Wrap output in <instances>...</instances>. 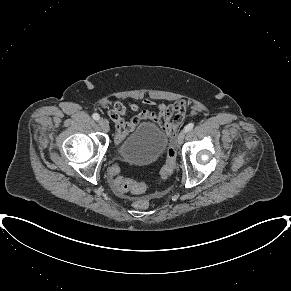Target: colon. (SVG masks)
Wrapping results in <instances>:
<instances>
[{
	"label": "colon",
	"instance_id": "5ec220e1",
	"mask_svg": "<svg viewBox=\"0 0 291 291\" xmlns=\"http://www.w3.org/2000/svg\"><path fill=\"white\" fill-rule=\"evenodd\" d=\"M176 168V152L174 148H170L167 151L166 160L161 168L160 176L163 179L168 178ZM110 181L114 190L119 194L126 193H142L146 190V185L143 183H137L133 180L124 178L120 174V167L114 164L110 169ZM133 206L139 210H146L150 207V202L145 199H137L133 202Z\"/></svg>",
	"mask_w": 291,
	"mask_h": 291
}]
</instances>
